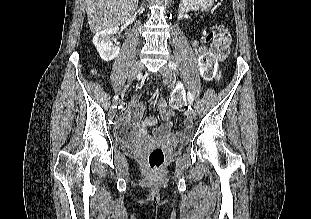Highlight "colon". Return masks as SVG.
Wrapping results in <instances>:
<instances>
[{"label":"colon","instance_id":"1","mask_svg":"<svg viewBox=\"0 0 311 219\" xmlns=\"http://www.w3.org/2000/svg\"><path fill=\"white\" fill-rule=\"evenodd\" d=\"M212 51H204L200 55V65L203 76L207 79L212 78L216 73V66L219 61L225 60L230 52L232 45L231 34L225 28H219L211 34ZM176 104V100H171ZM167 154L163 148H154L148 155V166L152 171L159 170L166 160Z\"/></svg>","mask_w":311,"mask_h":219}]
</instances>
